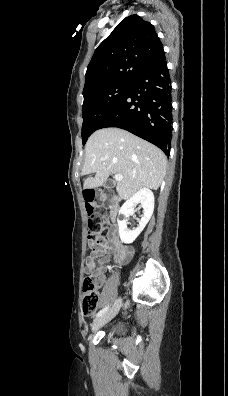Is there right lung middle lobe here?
<instances>
[{"label":"right lung middle lobe","instance_id":"obj_1","mask_svg":"<svg viewBox=\"0 0 228 396\" xmlns=\"http://www.w3.org/2000/svg\"><path fill=\"white\" fill-rule=\"evenodd\" d=\"M131 82L113 83L83 94L82 139L86 143L88 137L99 129L101 122L117 107L127 93Z\"/></svg>","mask_w":228,"mask_h":396}]
</instances>
